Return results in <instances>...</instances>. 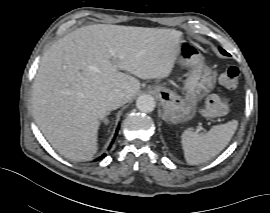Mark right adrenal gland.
<instances>
[{
    "mask_svg": "<svg viewBox=\"0 0 270 213\" xmlns=\"http://www.w3.org/2000/svg\"><path fill=\"white\" fill-rule=\"evenodd\" d=\"M104 123H105V124H108V123H109V120H108V119H105V120H104Z\"/></svg>",
    "mask_w": 270,
    "mask_h": 213,
    "instance_id": "right-adrenal-gland-1",
    "label": "right adrenal gland"
}]
</instances>
